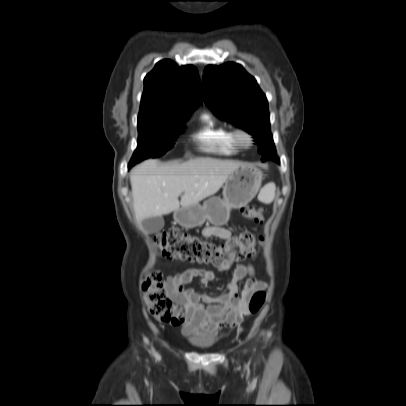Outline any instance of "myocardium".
<instances>
[{
    "instance_id": "myocardium-1",
    "label": "myocardium",
    "mask_w": 406,
    "mask_h": 406,
    "mask_svg": "<svg viewBox=\"0 0 406 406\" xmlns=\"http://www.w3.org/2000/svg\"><path fill=\"white\" fill-rule=\"evenodd\" d=\"M233 138L237 145L243 148H248L254 143L253 135L245 128H236L233 130Z\"/></svg>"
}]
</instances>
